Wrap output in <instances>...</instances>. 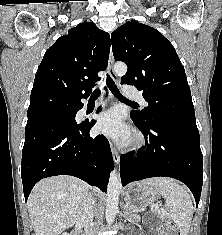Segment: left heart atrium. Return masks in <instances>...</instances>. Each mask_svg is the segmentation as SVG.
<instances>
[{
    "mask_svg": "<svg viewBox=\"0 0 222 235\" xmlns=\"http://www.w3.org/2000/svg\"><path fill=\"white\" fill-rule=\"evenodd\" d=\"M97 128L102 133L120 141L130 139L131 131L125 125L122 113L118 109H109L98 116Z\"/></svg>",
    "mask_w": 222,
    "mask_h": 235,
    "instance_id": "1",
    "label": "left heart atrium"
}]
</instances>
